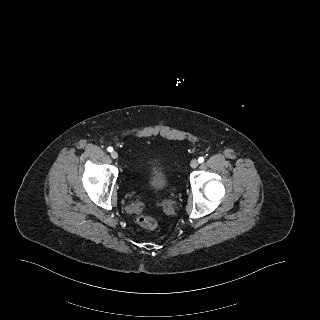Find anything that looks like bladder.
Wrapping results in <instances>:
<instances>
[{
	"label": "bladder",
	"instance_id": "1",
	"mask_svg": "<svg viewBox=\"0 0 320 320\" xmlns=\"http://www.w3.org/2000/svg\"><path fill=\"white\" fill-rule=\"evenodd\" d=\"M147 167L149 170L148 188L155 192L164 191L168 186V179L160 162L156 159H149Z\"/></svg>",
	"mask_w": 320,
	"mask_h": 320
}]
</instances>
